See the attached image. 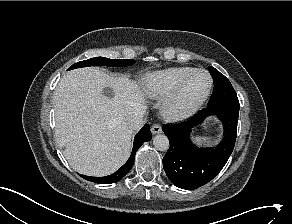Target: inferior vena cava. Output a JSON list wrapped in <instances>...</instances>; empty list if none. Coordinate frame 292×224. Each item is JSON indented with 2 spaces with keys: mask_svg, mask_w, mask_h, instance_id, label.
<instances>
[{
  "mask_svg": "<svg viewBox=\"0 0 292 224\" xmlns=\"http://www.w3.org/2000/svg\"><path fill=\"white\" fill-rule=\"evenodd\" d=\"M146 107L143 104H138L134 110L129 113L128 124L136 130L143 124Z\"/></svg>",
  "mask_w": 292,
  "mask_h": 224,
  "instance_id": "obj_1",
  "label": "inferior vena cava"
}]
</instances>
